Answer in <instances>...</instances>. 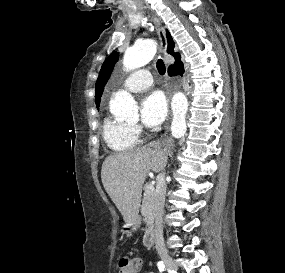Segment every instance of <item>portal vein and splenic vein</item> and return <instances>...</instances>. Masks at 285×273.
Wrapping results in <instances>:
<instances>
[{"label":"portal vein and splenic vein","instance_id":"1","mask_svg":"<svg viewBox=\"0 0 285 273\" xmlns=\"http://www.w3.org/2000/svg\"><path fill=\"white\" fill-rule=\"evenodd\" d=\"M149 188L152 189V188H154V187H153V185H150Z\"/></svg>","mask_w":285,"mask_h":273}]
</instances>
